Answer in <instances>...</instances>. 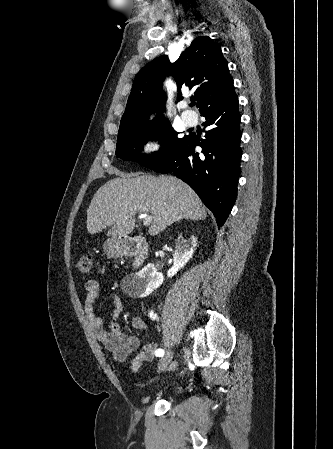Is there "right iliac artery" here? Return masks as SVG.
Listing matches in <instances>:
<instances>
[{"label": "right iliac artery", "instance_id": "82829eb1", "mask_svg": "<svg viewBox=\"0 0 333 449\" xmlns=\"http://www.w3.org/2000/svg\"><path fill=\"white\" fill-rule=\"evenodd\" d=\"M150 316H151V318H153V319L155 318V317H154L155 315L153 316V312L150 313ZM155 355L158 356V357L163 356V355H164V350H163V349H160V348L157 349V350L155 351Z\"/></svg>", "mask_w": 333, "mask_h": 449}]
</instances>
